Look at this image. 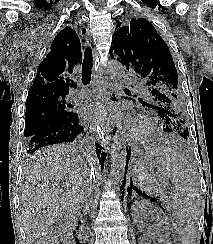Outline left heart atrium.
I'll list each match as a JSON object with an SVG mask.
<instances>
[{"instance_id": "left-heart-atrium-1", "label": "left heart atrium", "mask_w": 213, "mask_h": 244, "mask_svg": "<svg viewBox=\"0 0 213 244\" xmlns=\"http://www.w3.org/2000/svg\"><path fill=\"white\" fill-rule=\"evenodd\" d=\"M113 111H116V107L110 101L98 97L86 102L84 117L93 123L100 124Z\"/></svg>"}]
</instances>
